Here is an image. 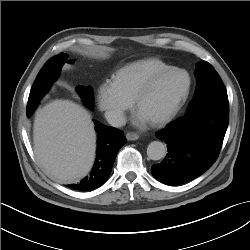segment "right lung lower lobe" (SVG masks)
Masks as SVG:
<instances>
[{
  "label": "right lung lower lobe",
  "mask_w": 250,
  "mask_h": 250,
  "mask_svg": "<svg viewBox=\"0 0 250 250\" xmlns=\"http://www.w3.org/2000/svg\"><path fill=\"white\" fill-rule=\"evenodd\" d=\"M95 125L98 140L94 167L89 176L80 183L67 185L73 190L92 191L103 185L110 176L119 149L126 143V139L120 130L96 121Z\"/></svg>",
  "instance_id": "right-lung-lower-lobe-1"
}]
</instances>
